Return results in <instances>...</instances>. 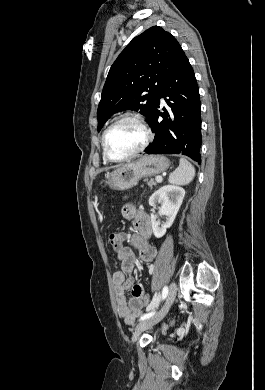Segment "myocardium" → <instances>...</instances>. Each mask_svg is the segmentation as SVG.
<instances>
[{
  "instance_id": "1",
  "label": "myocardium",
  "mask_w": 265,
  "mask_h": 390,
  "mask_svg": "<svg viewBox=\"0 0 265 390\" xmlns=\"http://www.w3.org/2000/svg\"><path fill=\"white\" fill-rule=\"evenodd\" d=\"M125 121H130V122L137 124L141 128V130L143 131L144 139H143L142 143L140 144V146L137 147L135 150H133L128 155H126L122 158H113L107 150V137H108L109 132L116 125H118L122 122H125ZM152 137H153V135H152V131H151L150 127L148 126L146 121L140 115L133 114V113L123 114L119 118H117L114 122H112L103 133V136H102L103 155H104L106 160H108L109 162H113V163H120V162L128 161V160L134 158L135 156H137L138 154L142 153L150 144Z\"/></svg>"
}]
</instances>
